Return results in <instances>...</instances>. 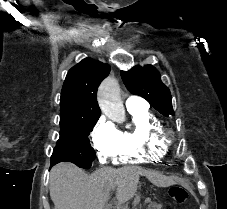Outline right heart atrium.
<instances>
[{"label": "right heart atrium", "instance_id": "d8ad5b80", "mask_svg": "<svg viewBox=\"0 0 227 209\" xmlns=\"http://www.w3.org/2000/svg\"><path fill=\"white\" fill-rule=\"evenodd\" d=\"M91 137L98 159L100 161H107L116 152L121 134L120 130L110 121L101 118L94 127Z\"/></svg>", "mask_w": 227, "mask_h": 209}]
</instances>
